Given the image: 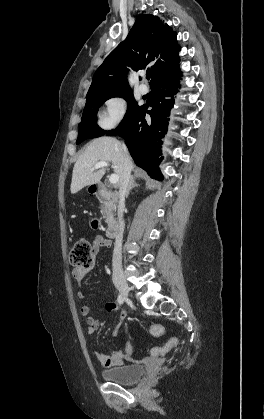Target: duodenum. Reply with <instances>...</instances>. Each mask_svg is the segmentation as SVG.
Segmentation results:
<instances>
[{
	"label": "duodenum",
	"mask_w": 264,
	"mask_h": 419,
	"mask_svg": "<svg viewBox=\"0 0 264 419\" xmlns=\"http://www.w3.org/2000/svg\"><path fill=\"white\" fill-rule=\"evenodd\" d=\"M93 193L100 201H115L117 196L115 193L108 191L103 184H96L93 187ZM119 230L118 220L115 217H111L108 222L106 235L109 238L117 236Z\"/></svg>",
	"instance_id": "410a0bca"
}]
</instances>
